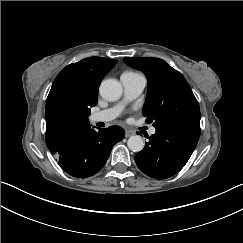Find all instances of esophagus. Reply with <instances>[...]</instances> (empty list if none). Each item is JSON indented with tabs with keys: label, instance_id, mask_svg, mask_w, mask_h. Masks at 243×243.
<instances>
[{
	"label": "esophagus",
	"instance_id": "1",
	"mask_svg": "<svg viewBox=\"0 0 243 243\" xmlns=\"http://www.w3.org/2000/svg\"><path fill=\"white\" fill-rule=\"evenodd\" d=\"M133 135H135V133L133 131H131V130H126L125 131V137L126 138H129V137H131Z\"/></svg>",
	"mask_w": 243,
	"mask_h": 243
}]
</instances>
